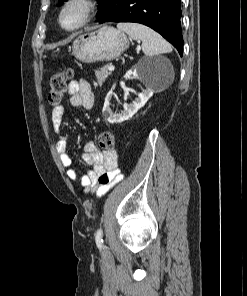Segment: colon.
I'll return each instance as SVG.
<instances>
[{"label": "colon", "mask_w": 247, "mask_h": 296, "mask_svg": "<svg viewBox=\"0 0 247 296\" xmlns=\"http://www.w3.org/2000/svg\"><path fill=\"white\" fill-rule=\"evenodd\" d=\"M72 75L73 72L70 68H64L51 77L48 90V102L51 105H58L62 102L65 96L67 83ZM98 145L104 151H113L115 147L114 133L111 130L102 131L99 135ZM99 181L101 184H107L109 176L103 175L100 177Z\"/></svg>", "instance_id": "1"}]
</instances>
